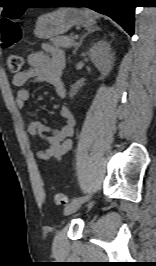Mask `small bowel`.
I'll return each instance as SVG.
<instances>
[{
  "mask_svg": "<svg viewBox=\"0 0 156 266\" xmlns=\"http://www.w3.org/2000/svg\"><path fill=\"white\" fill-rule=\"evenodd\" d=\"M29 67L12 77V84L17 88L16 105L23 109L30 99V93L25 88L28 82H48L59 97H65L66 89L62 80L65 67L64 54L54 46L45 45L44 51L33 52L28 56ZM60 115L64 124L55 128L38 120H30L26 127L28 132L35 137L44 139L48 146L38 150L37 158L42 161H61L72 148L71 136L74 131L75 118L71 109L63 105Z\"/></svg>",
  "mask_w": 156,
  "mask_h": 266,
  "instance_id": "small-bowel-1",
  "label": "small bowel"
}]
</instances>
